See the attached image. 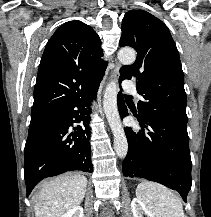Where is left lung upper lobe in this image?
<instances>
[{
  "label": "left lung upper lobe",
  "instance_id": "1",
  "mask_svg": "<svg viewBox=\"0 0 211 217\" xmlns=\"http://www.w3.org/2000/svg\"><path fill=\"white\" fill-rule=\"evenodd\" d=\"M120 46L137 51L133 65L120 69V81L135 77L139 116L164 120L187 129L184 75L175 42L167 26L144 10L128 11L122 20Z\"/></svg>",
  "mask_w": 211,
  "mask_h": 217
}]
</instances>
